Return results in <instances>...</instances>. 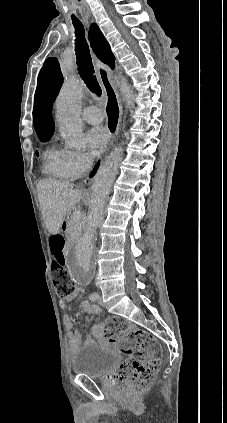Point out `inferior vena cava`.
Listing matches in <instances>:
<instances>
[{"label": "inferior vena cava", "mask_w": 227, "mask_h": 423, "mask_svg": "<svg viewBox=\"0 0 227 423\" xmlns=\"http://www.w3.org/2000/svg\"><path fill=\"white\" fill-rule=\"evenodd\" d=\"M84 162H85L87 168H90V166H92V164L94 162L93 156H90V154H85Z\"/></svg>", "instance_id": "602c4592"}]
</instances>
